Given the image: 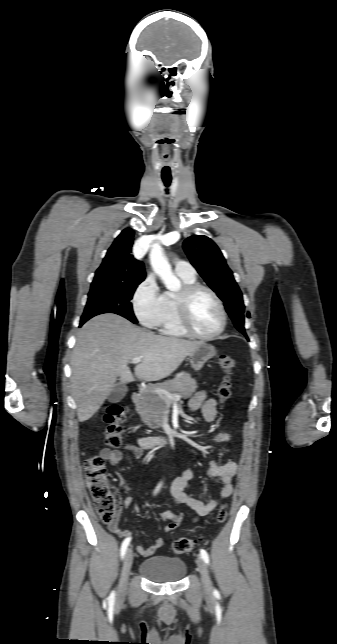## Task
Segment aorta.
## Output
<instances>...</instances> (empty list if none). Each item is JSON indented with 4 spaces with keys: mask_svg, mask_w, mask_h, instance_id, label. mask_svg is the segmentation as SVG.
Returning a JSON list of instances; mask_svg holds the SVG:
<instances>
[{
    "mask_svg": "<svg viewBox=\"0 0 337 644\" xmlns=\"http://www.w3.org/2000/svg\"><path fill=\"white\" fill-rule=\"evenodd\" d=\"M149 259L153 271L160 277L165 287L170 291L179 290L180 280L172 273L171 266L158 243L152 245Z\"/></svg>",
    "mask_w": 337,
    "mask_h": 644,
    "instance_id": "1",
    "label": "aorta"
}]
</instances>
